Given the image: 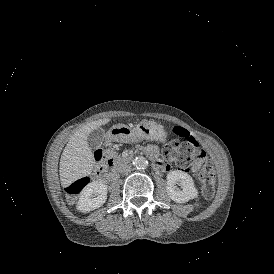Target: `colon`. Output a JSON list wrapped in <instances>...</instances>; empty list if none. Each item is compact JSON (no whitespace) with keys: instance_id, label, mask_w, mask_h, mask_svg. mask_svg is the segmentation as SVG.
<instances>
[{"instance_id":"colon-1","label":"colon","mask_w":274,"mask_h":274,"mask_svg":"<svg viewBox=\"0 0 274 274\" xmlns=\"http://www.w3.org/2000/svg\"><path fill=\"white\" fill-rule=\"evenodd\" d=\"M197 147L190 146L177 140L165 144L162 150V156L165 160L173 162L177 168L196 167L200 180V195L203 198L210 199L214 196L216 174L214 166L209 161H198L195 150ZM90 175H79L77 180H71L70 184L65 188L67 196L78 194L81 189H88L91 183ZM69 202L72 203L73 199L70 198Z\"/></svg>"}]
</instances>
